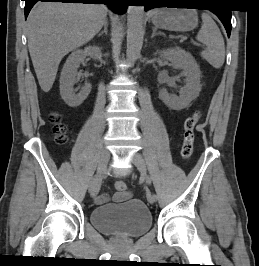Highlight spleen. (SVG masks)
<instances>
[{"label":"spleen","instance_id":"3e777b00","mask_svg":"<svg viewBox=\"0 0 259 266\" xmlns=\"http://www.w3.org/2000/svg\"><path fill=\"white\" fill-rule=\"evenodd\" d=\"M202 26L196 39L206 45V49L201 52V56L214 68L219 69L225 61V44L223 36L207 13H202Z\"/></svg>","mask_w":259,"mask_h":266}]
</instances>
